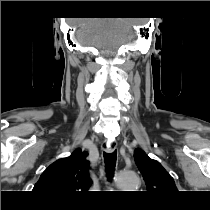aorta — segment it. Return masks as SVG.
<instances>
[{
	"label": "aorta",
	"instance_id": "1",
	"mask_svg": "<svg viewBox=\"0 0 210 210\" xmlns=\"http://www.w3.org/2000/svg\"><path fill=\"white\" fill-rule=\"evenodd\" d=\"M117 186L124 191H133L140 186L139 177L132 172H120L116 178Z\"/></svg>",
	"mask_w": 210,
	"mask_h": 210
}]
</instances>
